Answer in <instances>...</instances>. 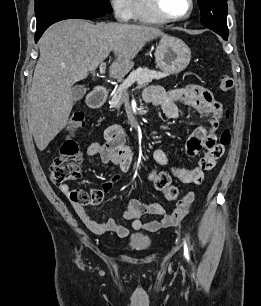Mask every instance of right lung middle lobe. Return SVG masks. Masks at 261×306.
Returning a JSON list of instances; mask_svg holds the SVG:
<instances>
[{
  "instance_id": "1",
  "label": "right lung middle lobe",
  "mask_w": 261,
  "mask_h": 306,
  "mask_svg": "<svg viewBox=\"0 0 261 306\" xmlns=\"http://www.w3.org/2000/svg\"><path fill=\"white\" fill-rule=\"evenodd\" d=\"M35 4H49L81 9L112 12L109 0H35Z\"/></svg>"
}]
</instances>
